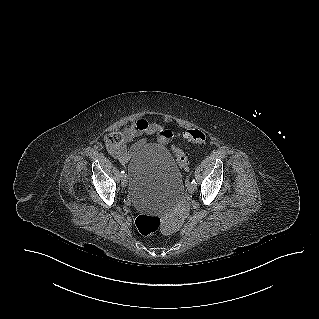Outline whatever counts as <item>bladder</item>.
<instances>
[{"mask_svg": "<svg viewBox=\"0 0 319 319\" xmlns=\"http://www.w3.org/2000/svg\"><path fill=\"white\" fill-rule=\"evenodd\" d=\"M132 205L145 212H166L180 199L183 178L169 150L160 144L142 146L127 165Z\"/></svg>", "mask_w": 319, "mask_h": 319, "instance_id": "bladder-1", "label": "bladder"}]
</instances>
